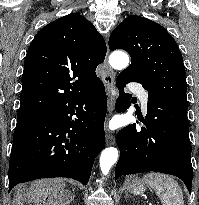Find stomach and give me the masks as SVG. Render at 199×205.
<instances>
[{"label":"stomach","mask_w":199,"mask_h":205,"mask_svg":"<svg viewBox=\"0 0 199 205\" xmlns=\"http://www.w3.org/2000/svg\"><path fill=\"white\" fill-rule=\"evenodd\" d=\"M145 182L141 179H134L130 184H129V190L134 194V195H140L145 191Z\"/></svg>","instance_id":"1"}]
</instances>
